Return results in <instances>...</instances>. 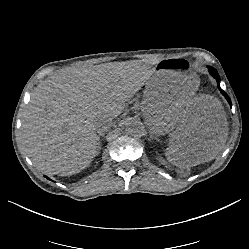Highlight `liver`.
Wrapping results in <instances>:
<instances>
[{
	"mask_svg": "<svg viewBox=\"0 0 249 249\" xmlns=\"http://www.w3.org/2000/svg\"><path fill=\"white\" fill-rule=\"evenodd\" d=\"M154 71L102 64L71 67L41 81L22 116V143L35 167L61 176L87 168L100 146L95 121L118 118ZM140 111L155 136H168L175 157L168 161L177 166L211 161L228 137L224 109L209 95L180 101L152 90L144 93Z\"/></svg>",
	"mask_w": 249,
	"mask_h": 249,
	"instance_id": "6515ba94",
	"label": "liver"
}]
</instances>
